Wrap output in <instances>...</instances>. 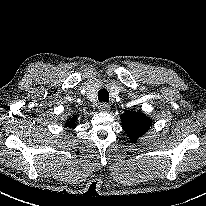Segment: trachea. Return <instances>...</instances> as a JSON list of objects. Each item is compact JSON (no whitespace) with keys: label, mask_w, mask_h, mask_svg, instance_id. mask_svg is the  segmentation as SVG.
<instances>
[{"label":"trachea","mask_w":206,"mask_h":206,"mask_svg":"<svg viewBox=\"0 0 206 206\" xmlns=\"http://www.w3.org/2000/svg\"><path fill=\"white\" fill-rule=\"evenodd\" d=\"M98 100L99 102H108L109 101V93L106 89H102L98 91Z\"/></svg>","instance_id":"obj_1"}]
</instances>
